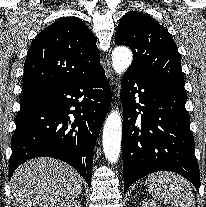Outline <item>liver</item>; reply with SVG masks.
<instances>
[{"label": "liver", "mask_w": 206, "mask_h": 207, "mask_svg": "<svg viewBox=\"0 0 206 207\" xmlns=\"http://www.w3.org/2000/svg\"><path fill=\"white\" fill-rule=\"evenodd\" d=\"M11 188L15 207H64L81 194L82 179L64 162L35 158L16 169Z\"/></svg>", "instance_id": "obj_1"}]
</instances>
